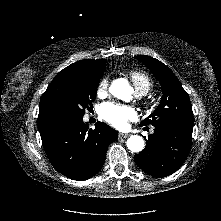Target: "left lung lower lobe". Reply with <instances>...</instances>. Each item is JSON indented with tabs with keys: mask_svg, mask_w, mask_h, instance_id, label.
Instances as JSON below:
<instances>
[{
	"mask_svg": "<svg viewBox=\"0 0 221 221\" xmlns=\"http://www.w3.org/2000/svg\"><path fill=\"white\" fill-rule=\"evenodd\" d=\"M193 126L161 124L148 136L144 150L135 155L143 171L165 177L177 171L187 158L192 143Z\"/></svg>",
	"mask_w": 221,
	"mask_h": 221,
	"instance_id": "1",
	"label": "left lung lower lobe"
}]
</instances>
